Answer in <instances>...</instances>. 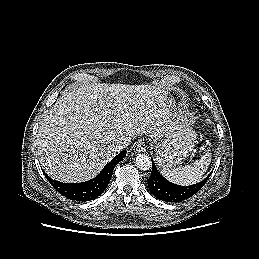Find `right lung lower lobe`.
Here are the masks:
<instances>
[{"instance_id":"right-lung-lower-lobe-1","label":"right lung lower lobe","mask_w":259,"mask_h":259,"mask_svg":"<svg viewBox=\"0 0 259 259\" xmlns=\"http://www.w3.org/2000/svg\"><path fill=\"white\" fill-rule=\"evenodd\" d=\"M125 156L126 151H121L104 167L98 176L82 183H63L49 178L45 173L44 175L50 184L60 194L68 199L76 201H89L95 199L103 193L112 177L115 165L122 161Z\"/></svg>"}]
</instances>
